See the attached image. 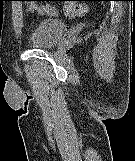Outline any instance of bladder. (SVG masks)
Returning <instances> with one entry per match:
<instances>
[{"mask_svg":"<svg viewBox=\"0 0 135 161\" xmlns=\"http://www.w3.org/2000/svg\"><path fill=\"white\" fill-rule=\"evenodd\" d=\"M66 31L65 23L58 18L39 20L31 30L28 41L33 47L54 46Z\"/></svg>","mask_w":135,"mask_h":161,"instance_id":"1","label":"bladder"}]
</instances>
